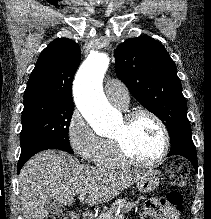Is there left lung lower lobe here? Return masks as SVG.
<instances>
[{"label":"left lung lower lobe","mask_w":211,"mask_h":219,"mask_svg":"<svg viewBox=\"0 0 211 219\" xmlns=\"http://www.w3.org/2000/svg\"><path fill=\"white\" fill-rule=\"evenodd\" d=\"M170 143L171 149L168 156L180 155L187 158L197 171L198 162L196 147L192 141L191 130L179 133L170 141Z\"/></svg>","instance_id":"left-lung-lower-lobe-1"}]
</instances>
